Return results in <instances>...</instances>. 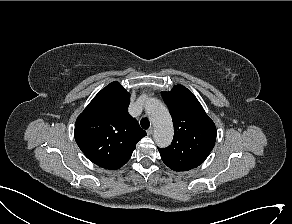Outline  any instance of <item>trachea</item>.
I'll list each match as a JSON object with an SVG mask.
<instances>
[{
  "label": "trachea",
  "instance_id": "1",
  "mask_svg": "<svg viewBox=\"0 0 292 224\" xmlns=\"http://www.w3.org/2000/svg\"><path fill=\"white\" fill-rule=\"evenodd\" d=\"M142 128L148 129L150 126V121L147 118H142L140 121Z\"/></svg>",
  "mask_w": 292,
  "mask_h": 224
}]
</instances>
